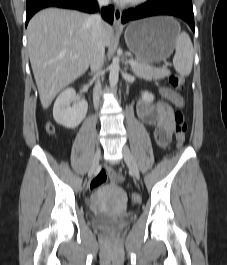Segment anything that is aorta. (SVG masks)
Returning <instances> with one entry per match:
<instances>
[{"label": "aorta", "mask_w": 227, "mask_h": 265, "mask_svg": "<svg viewBox=\"0 0 227 265\" xmlns=\"http://www.w3.org/2000/svg\"><path fill=\"white\" fill-rule=\"evenodd\" d=\"M119 69V60L117 58H114L109 68V83L111 87H115L118 83Z\"/></svg>", "instance_id": "1"}]
</instances>
